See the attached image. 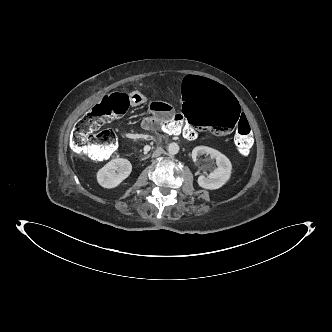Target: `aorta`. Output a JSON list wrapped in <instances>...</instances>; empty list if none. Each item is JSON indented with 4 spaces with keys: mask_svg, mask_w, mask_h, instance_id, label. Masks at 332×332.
I'll list each match as a JSON object with an SVG mask.
<instances>
[{
    "mask_svg": "<svg viewBox=\"0 0 332 332\" xmlns=\"http://www.w3.org/2000/svg\"><path fill=\"white\" fill-rule=\"evenodd\" d=\"M168 152L171 155H176L179 152V146L177 143H170L168 146Z\"/></svg>",
    "mask_w": 332,
    "mask_h": 332,
    "instance_id": "aorta-1",
    "label": "aorta"
}]
</instances>
